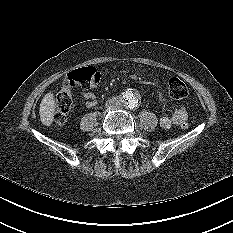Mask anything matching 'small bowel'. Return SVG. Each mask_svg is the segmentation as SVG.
I'll list each match as a JSON object with an SVG mask.
<instances>
[{"instance_id": "1", "label": "small bowel", "mask_w": 233, "mask_h": 233, "mask_svg": "<svg viewBox=\"0 0 233 233\" xmlns=\"http://www.w3.org/2000/svg\"><path fill=\"white\" fill-rule=\"evenodd\" d=\"M77 97L79 102L85 104L86 107H92L96 104V97L92 92H79ZM188 118V110L184 106H180L171 115L161 116L159 124L163 129H169L173 125H180L183 121L188 120Z\"/></svg>"}]
</instances>
